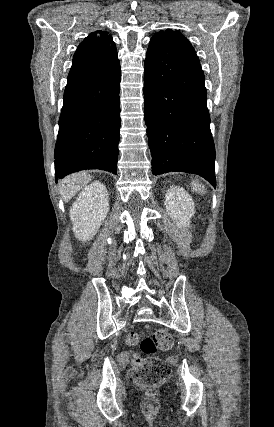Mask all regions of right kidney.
<instances>
[{"instance_id":"right-kidney-1","label":"right kidney","mask_w":274,"mask_h":427,"mask_svg":"<svg viewBox=\"0 0 274 427\" xmlns=\"http://www.w3.org/2000/svg\"><path fill=\"white\" fill-rule=\"evenodd\" d=\"M108 212L109 196L106 186L101 182H92L86 186L78 194L69 214L75 237L81 241H90Z\"/></svg>"}]
</instances>
